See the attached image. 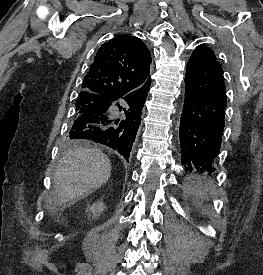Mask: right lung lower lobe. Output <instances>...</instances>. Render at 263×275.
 <instances>
[{
  "instance_id": "98d812e1",
  "label": "right lung lower lobe",
  "mask_w": 263,
  "mask_h": 275,
  "mask_svg": "<svg viewBox=\"0 0 263 275\" xmlns=\"http://www.w3.org/2000/svg\"><path fill=\"white\" fill-rule=\"evenodd\" d=\"M151 81L140 90L126 96H116L107 100V108L101 111L87 112L75 117L68 137L70 139H88L106 145L118 151L128 161L129 155L141 123L142 108L146 101ZM123 99L127 107L123 108L125 117L113 119L109 113L112 102ZM120 110L122 107L117 104Z\"/></svg>"
}]
</instances>
